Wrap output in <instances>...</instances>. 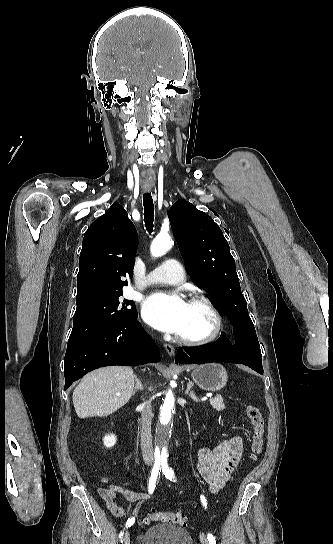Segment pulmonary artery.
Returning a JSON list of instances; mask_svg holds the SVG:
<instances>
[{
    "label": "pulmonary artery",
    "instance_id": "e3ab8cb5",
    "mask_svg": "<svg viewBox=\"0 0 333 544\" xmlns=\"http://www.w3.org/2000/svg\"><path fill=\"white\" fill-rule=\"evenodd\" d=\"M184 278L182 265L175 259H167L148 274L147 282L149 284H177Z\"/></svg>",
    "mask_w": 333,
    "mask_h": 544
}]
</instances>
